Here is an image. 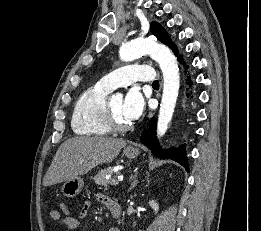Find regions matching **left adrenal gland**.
Returning <instances> with one entry per match:
<instances>
[{"label": "left adrenal gland", "mask_w": 261, "mask_h": 231, "mask_svg": "<svg viewBox=\"0 0 261 231\" xmlns=\"http://www.w3.org/2000/svg\"><path fill=\"white\" fill-rule=\"evenodd\" d=\"M137 174H138V172L136 171L135 174L132 176V178H131L132 182H131V186H130L129 190H132L133 188H135V186L139 182L137 179Z\"/></svg>", "instance_id": "a2214340"}]
</instances>
